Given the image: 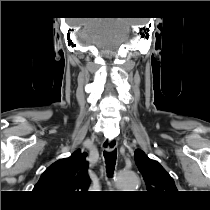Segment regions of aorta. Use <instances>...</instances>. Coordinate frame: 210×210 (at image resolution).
I'll use <instances>...</instances> for the list:
<instances>
[{"label": "aorta", "mask_w": 210, "mask_h": 210, "mask_svg": "<svg viewBox=\"0 0 210 210\" xmlns=\"http://www.w3.org/2000/svg\"><path fill=\"white\" fill-rule=\"evenodd\" d=\"M116 186L124 191H131L137 189L140 184V180L135 173L132 172H119L116 175Z\"/></svg>", "instance_id": "aorta-1"}]
</instances>
